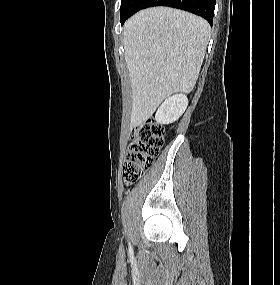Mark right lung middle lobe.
<instances>
[{"instance_id":"1","label":"right lung middle lobe","mask_w":280,"mask_h":285,"mask_svg":"<svg viewBox=\"0 0 280 285\" xmlns=\"http://www.w3.org/2000/svg\"><path fill=\"white\" fill-rule=\"evenodd\" d=\"M137 1L138 0H122L120 7V13H121L120 19L129 16V14L133 11Z\"/></svg>"}]
</instances>
